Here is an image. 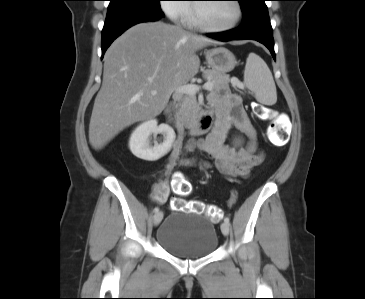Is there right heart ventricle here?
Here are the masks:
<instances>
[{
  "instance_id": "right-heart-ventricle-1",
  "label": "right heart ventricle",
  "mask_w": 365,
  "mask_h": 299,
  "mask_svg": "<svg viewBox=\"0 0 365 299\" xmlns=\"http://www.w3.org/2000/svg\"><path fill=\"white\" fill-rule=\"evenodd\" d=\"M185 22L188 24V25H194L193 24V20H192V11H191V8L189 9V12L186 16V19H185Z\"/></svg>"
}]
</instances>
